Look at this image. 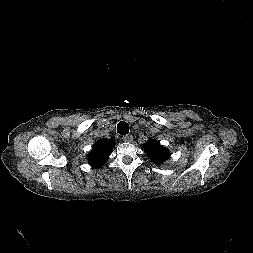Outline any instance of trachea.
Returning <instances> with one entry per match:
<instances>
[{
	"mask_svg": "<svg viewBox=\"0 0 253 253\" xmlns=\"http://www.w3.org/2000/svg\"><path fill=\"white\" fill-rule=\"evenodd\" d=\"M117 132L120 134V135H126L129 133V125L124 122V121H121L117 124Z\"/></svg>",
	"mask_w": 253,
	"mask_h": 253,
	"instance_id": "1",
	"label": "trachea"
}]
</instances>
